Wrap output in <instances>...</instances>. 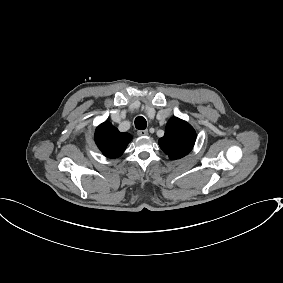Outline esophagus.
Returning a JSON list of instances; mask_svg holds the SVG:
<instances>
[{"label": "esophagus", "mask_w": 283, "mask_h": 283, "mask_svg": "<svg viewBox=\"0 0 283 283\" xmlns=\"http://www.w3.org/2000/svg\"><path fill=\"white\" fill-rule=\"evenodd\" d=\"M137 134L139 136H146V135H148V131L147 130H139V131H137Z\"/></svg>", "instance_id": "34e87169"}]
</instances>
